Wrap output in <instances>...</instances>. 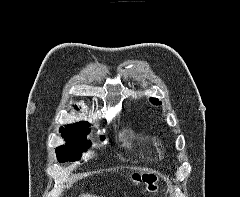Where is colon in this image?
Masks as SVG:
<instances>
[{"label": "colon", "instance_id": "obj_1", "mask_svg": "<svg viewBox=\"0 0 240 197\" xmlns=\"http://www.w3.org/2000/svg\"><path fill=\"white\" fill-rule=\"evenodd\" d=\"M133 180L138 181V182L142 181V182L148 184L150 190L156 189V186L154 183L157 180V177L153 174L135 175V176H133Z\"/></svg>", "mask_w": 240, "mask_h": 197}]
</instances>
